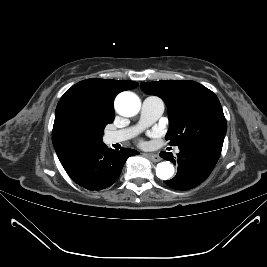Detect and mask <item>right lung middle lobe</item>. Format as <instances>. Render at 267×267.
Wrapping results in <instances>:
<instances>
[{
    "label": "right lung middle lobe",
    "instance_id": "obj_1",
    "mask_svg": "<svg viewBox=\"0 0 267 267\" xmlns=\"http://www.w3.org/2000/svg\"><path fill=\"white\" fill-rule=\"evenodd\" d=\"M114 118L95 113L86 105H78L65 114L63 130L68 139L86 147L102 142L104 128Z\"/></svg>",
    "mask_w": 267,
    "mask_h": 267
}]
</instances>
